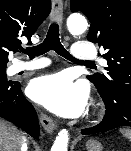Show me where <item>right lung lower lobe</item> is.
<instances>
[{
    "mask_svg": "<svg viewBox=\"0 0 131 151\" xmlns=\"http://www.w3.org/2000/svg\"><path fill=\"white\" fill-rule=\"evenodd\" d=\"M0 117L18 124L33 138H39L40 128L36 111L23 96L19 82L0 80Z\"/></svg>",
    "mask_w": 131,
    "mask_h": 151,
    "instance_id": "obj_1",
    "label": "right lung lower lobe"
}]
</instances>
